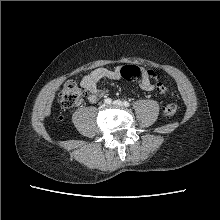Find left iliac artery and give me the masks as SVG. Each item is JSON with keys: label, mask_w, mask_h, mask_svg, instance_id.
Returning <instances> with one entry per match:
<instances>
[{"label": "left iliac artery", "mask_w": 220, "mask_h": 220, "mask_svg": "<svg viewBox=\"0 0 220 220\" xmlns=\"http://www.w3.org/2000/svg\"><path fill=\"white\" fill-rule=\"evenodd\" d=\"M123 104H124V106H126V107H128V106L130 105V103L127 102V101H124Z\"/></svg>", "instance_id": "left-iliac-artery-1"}]
</instances>
